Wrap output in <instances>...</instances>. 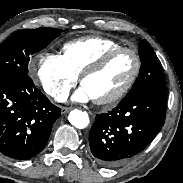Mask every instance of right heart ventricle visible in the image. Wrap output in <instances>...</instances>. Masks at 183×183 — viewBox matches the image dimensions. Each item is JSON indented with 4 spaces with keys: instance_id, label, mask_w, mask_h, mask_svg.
<instances>
[{
    "instance_id": "right-heart-ventricle-1",
    "label": "right heart ventricle",
    "mask_w": 183,
    "mask_h": 183,
    "mask_svg": "<svg viewBox=\"0 0 183 183\" xmlns=\"http://www.w3.org/2000/svg\"><path fill=\"white\" fill-rule=\"evenodd\" d=\"M121 47L117 41L103 36H88L66 43L63 57L68 67L77 75L96 62L108 51Z\"/></svg>"
}]
</instances>
